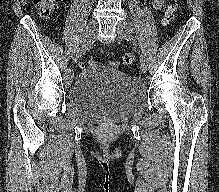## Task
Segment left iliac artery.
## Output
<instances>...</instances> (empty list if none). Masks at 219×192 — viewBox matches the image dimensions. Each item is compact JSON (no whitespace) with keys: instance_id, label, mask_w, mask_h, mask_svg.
Listing matches in <instances>:
<instances>
[{"instance_id":"left-iliac-artery-1","label":"left iliac artery","mask_w":219,"mask_h":192,"mask_svg":"<svg viewBox=\"0 0 219 192\" xmlns=\"http://www.w3.org/2000/svg\"><path fill=\"white\" fill-rule=\"evenodd\" d=\"M132 29H129V32L126 34V40L127 41H132L133 38H132ZM134 44L136 43L135 40H133ZM140 59H144V56L142 54H140Z\"/></svg>"}]
</instances>
